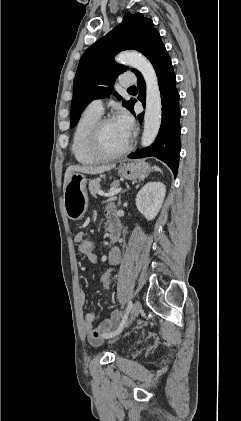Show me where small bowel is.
I'll list each match as a JSON object with an SVG mask.
<instances>
[{"label":"small bowel","mask_w":241,"mask_h":421,"mask_svg":"<svg viewBox=\"0 0 241 421\" xmlns=\"http://www.w3.org/2000/svg\"><path fill=\"white\" fill-rule=\"evenodd\" d=\"M110 215H115L114 208L109 206L107 208V217ZM85 240V235L83 232H78L74 237V242L80 245ZM88 260L95 264L97 262V255L94 252L82 253ZM121 259V251L118 247L112 248L107 256L109 264L116 265ZM79 300L85 302V293L81 291L79 293ZM121 320V314L119 312H113L109 319L102 321L96 327H94L95 314L93 312H87L84 317V329L86 331L87 338L92 345H100L104 340L105 336L114 330Z\"/></svg>","instance_id":"obj_1"}]
</instances>
